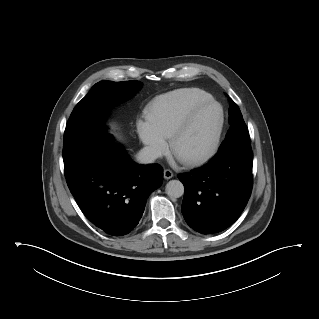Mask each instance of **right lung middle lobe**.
<instances>
[{
    "label": "right lung middle lobe",
    "instance_id": "dd1d6c3e",
    "mask_svg": "<svg viewBox=\"0 0 319 319\" xmlns=\"http://www.w3.org/2000/svg\"><path fill=\"white\" fill-rule=\"evenodd\" d=\"M141 87L139 81L111 82L100 81L77 104L72 111L64 132V164L91 139L108 136L103 132V119L109 108L117 101L125 100Z\"/></svg>",
    "mask_w": 319,
    "mask_h": 319
}]
</instances>
